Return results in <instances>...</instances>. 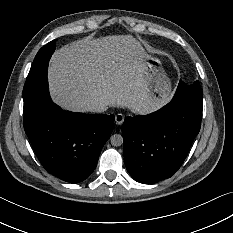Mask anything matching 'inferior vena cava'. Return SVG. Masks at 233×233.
<instances>
[{"label": "inferior vena cava", "mask_w": 233, "mask_h": 233, "mask_svg": "<svg viewBox=\"0 0 233 233\" xmlns=\"http://www.w3.org/2000/svg\"><path fill=\"white\" fill-rule=\"evenodd\" d=\"M106 110L105 105L102 101H97L93 105L90 106L89 111L93 113H101Z\"/></svg>", "instance_id": "inferior-vena-cava-1"}]
</instances>
